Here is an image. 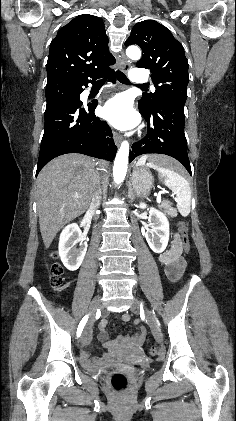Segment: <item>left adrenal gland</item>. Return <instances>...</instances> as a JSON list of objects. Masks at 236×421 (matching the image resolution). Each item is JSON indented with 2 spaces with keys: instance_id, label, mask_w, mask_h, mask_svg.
I'll list each match as a JSON object with an SVG mask.
<instances>
[{
  "instance_id": "obj_1",
  "label": "left adrenal gland",
  "mask_w": 236,
  "mask_h": 421,
  "mask_svg": "<svg viewBox=\"0 0 236 421\" xmlns=\"http://www.w3.org/2000/svg\"><path fill=\"white\" fill-rule=\"evenodd\" d=\"M129 188H128V196L130 198L129 202H132L135 194H134V190L132 188V184H128Z\"/></svg>"
}]
</instances>
